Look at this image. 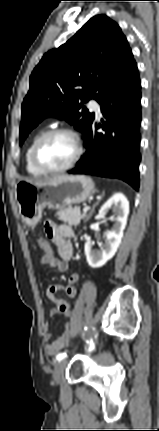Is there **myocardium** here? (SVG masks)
Wrapping results in <instances>:
<instances>
[{
  "label": "myocardium",
  "instance_id": "1",
  "mask_svg": "<svg viewBox=\"0 0 159 431\" xmlns=\"http://www.w3.org/2000/svg\"><path fill=\"white\" fill-rule=\"evenodd\" d=\"M59 134H65V135H69L74 144H75V155L74 157L71 159V161L66 164L63 167L60 168H51L48 167L46 165H44L40 159H39V150L40 147L42 146V144L49 139L52 136L55 135H59ZM83 155V144L82 141L78 135V133L76 131H74L73 129L67 128V127H56V128H52L49 129L47 131H45L34 143L33 148H32V161L34 163V165L40 169L42 172L47 173V174H56V173H63L68 171L69 169L73 168L77 162L80 160V158Z\"/></svg>",
  "mask_w": 159,
  "mask_h": 431
}]
</instances>
